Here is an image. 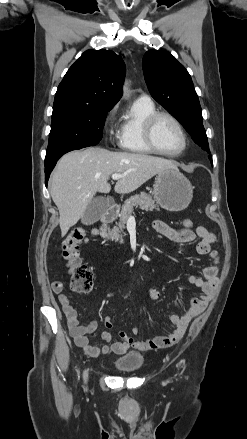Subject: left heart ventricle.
Listing matches in <instances>:
<instances>
[{
	"label": "left heart ventricle",
	"mask_w": 247,
	"mask_h": 439,
	"mask_svg": "<svg viewBox=\"0 0 247 439\" xmlns=\"http://www.w3.org/2000/svg\"><path fill=\"white\" fill-rule=\"evenodd\" d=\"M153 136L156 146L164 152H176L182 146V137L177 126L166 117L158 119Z\"/></svg>",
	"instance_id": "obj_1"
}]
</instances>
